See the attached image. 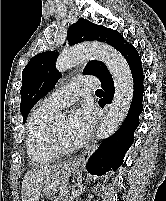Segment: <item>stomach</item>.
Returning a JSON list of instances; mask_svg holds the SVG:
<instances>
[{
    "label": "stomach",
    "instance_id": "obj_1",
    "mask_svg": "<svg viewBox=\"0 0 166 201\" xmlns=\"http://www.w3.org/2000/svg\"><path fill=\"white\" fill-rule=\"evenodd\" d=\"M76 170L73 166H67L64 168H60L53 178L46 183L42 189L43 196H51L57 192V188L61 183L68 182L70 176Z\"/></svg>",
    "mask_w": 166,
    "mask_h": 201
}]
</instances>
